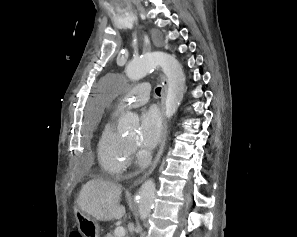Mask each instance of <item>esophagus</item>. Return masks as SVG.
Here are the masks:
<instances>
[{
  "label": "esophagus",
  "instance_id": "esophagus-1",
  "mask_svg": "<svg viewBox=\"0 0 297 237\" xmlns=\"http://www.w3.org/2000/svg\"><path fill=\"white\" fill-rule=\"evenodd\" d=\"M166 92H167V84L166 82L164 83V87H163V91H162V98H161V111H162V115L164 114V103H165V96H166ZM167 137H168V130H167V124L165 123L164 124V129H163V139H162V143H161V146H160V149L158 151V154H157V157H156V160L153 164V166L151 167V169L145 173L140 179L136 180L132 186H137L138 184H140L145 178L146 176H148L152 171L153 169L156 167L163 151H164V147H165V144H166V141H167Z\"/></svg>",
  "mask_w": 297,
  "mask_h": 237
}]
</instances>
